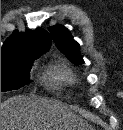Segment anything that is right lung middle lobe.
<instances>
[{"instance_id": "1", "label": "right lung middle lobe", "mask_w": 123, "mask_h": 130, "mask_svg": "<svg viewBox=\"0 0 123 130\" xmlns=\"http://www.w3.org/2000/svg\"><path fill=\"white\" fill-rule=\"evenodd\" d=\"M40 55H21L1 60V91L18 89L29 82L30 69Z\"/></svg>"}]
</instances>
